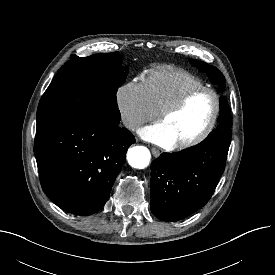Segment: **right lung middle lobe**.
Listing matches in <instances>:
<instances>
[{"label": "right lung middle lobe", "mask_w": 275, "mask_h": 275, "mask_svg": "<svg viewBox=\"0 0 275 275\" xmlns=\"http://www.w3.org/2000/svg\"><path fill=\"white\" fill-rule=\"evenodd\" d=\"M128 66L118 53L72 58L57 72L37 109V131L68 117L93 115L119 123L116 93Z\"/></svg>", "instance_id": "1"}]
</instances>
